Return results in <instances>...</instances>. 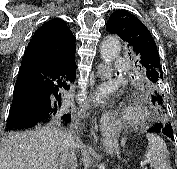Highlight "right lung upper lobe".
<instances>
[{
  "mask_svg": "<svg viewBox=\"0 0 177 169\" xmlns=\"http://www.w3.org/2000/svg\"><path fill=\"white\" fill-rule=\"evenodd\" d=\"M76 38L61 19L43 24L29 42L24 61L69 66L75 63Z\"/></svg>",
  "mask_w": 177,
  "mask_h": 169,
  "instance_id": "right-lung-upper-lobe-1",
  "label": "right lung upper lobe"
}]
</instances>
